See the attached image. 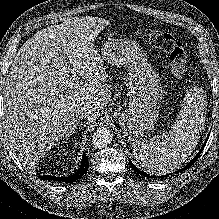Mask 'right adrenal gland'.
I'll return each instance as SVG.
<instances>
[{"label":"right adrenal gland","mask_w":219,"mask_h":219,"mask_svg":"<svg viewBox=\"0 0 219 219\" xmlns=\"http://www.w3.org/2000/svg\"><path fill=\"white\" fill-rule=\"evenodd\" d=\"M78 124H79V122H77L76 125L73 126V127L71 128V130L67 133V135H66V138H67V139H68V137H70V136L74 133V131H75V129L77 128Z\"/></svg>","instance_id":"2a0ac1e0"}]
</instances>
